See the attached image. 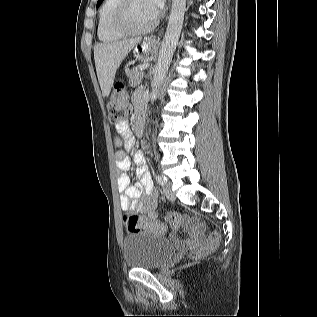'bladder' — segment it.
<instances>
[{
	"instance_id": "obj_1",
	"label": "bladder",
	"mask_w": 317,
	"mask_h": 317,
	"mask_svg": "<svg viewBox=\"0 0 317 317\" xmlns=\"http://www.w3.org/2000/svg\"><path fill=\"white\" fill-rule=\"evenodd\" d=\"M122 249L127 266L137 269L160 268L175 254L167 238L147 231L125 236Z\"/></svg>"
}]
</instances>
